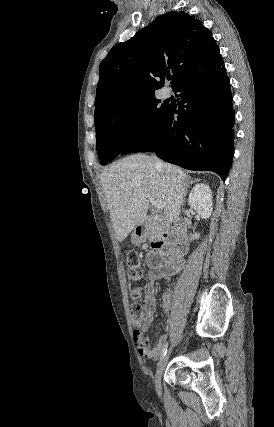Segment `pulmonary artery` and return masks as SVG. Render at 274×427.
<instances>
[{"instance_id": "e3ab8cb5", "label": "pulmonary artery", "mask_w": 274, "mask_h": 427, "mask_svg": "<svg viewBox=\"0 0 274 427\" xmlns=\"http://www.w3.org/2000/svg\"><path fill=\"white\" fill-rule=\"evenodd\" d=\"M169 96H170V90H169L167 87H164V88L161 90V98H162L163 100H166V99H168V98H169Z\"/></svg>"}]
</instances>
